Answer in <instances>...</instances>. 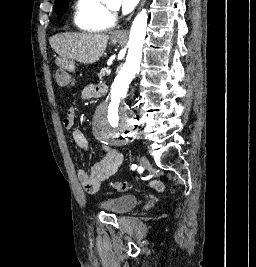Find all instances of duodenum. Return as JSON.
<instances>
[{"instance_id": "1", "label": "duodenum", "mask_w": 256, "mask_h": 267, "mask_svg": "<svg viewBox=\"0 0 256 267\" xmlns=\"http://www.w3.org/2000/svg\"><path fill=\"white\" fill-rule=\"evenodd\" d=\"M76 67L75 66H63L61 68V73H72V71H75ZM96 87H100V93L101 94H106L107 93V86L105 82H96L95 83ZM101 98H104V95H101Z\"/></svg>"}]
</instances>
